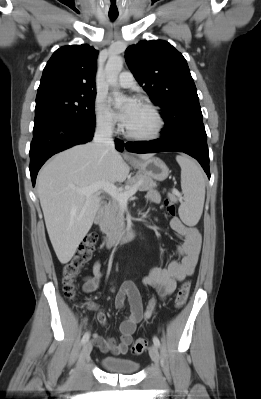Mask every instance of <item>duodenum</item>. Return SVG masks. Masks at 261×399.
Here are the masks:
<instances>
[{
    "label": "duodenum",
    "mask_w": 261,
    "mask_h": 399,
    "mask_svg": "<svg viewBox=\"0 0 261 399\" xmlns=\"http://www.w3.org/2000/svg\"><path fill=\"white\" fill-rule=\"evenodd\" d=\"M95 219L99 225L103 223L104 211L102 207L97 209L95 214ZM135 237H136V230L133 225H129L120 232L106 234L103 239V244L105 247L109 248L116 245L119 242L130 241Z\"/></svg>",
    "instance_id": "410a0bca"
}]
</instances>
